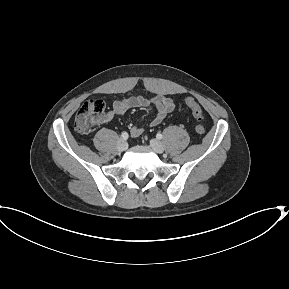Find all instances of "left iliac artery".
Listing matches in <instances>:
<instances>
[{
  "mask_svg": "<svg viewBox=\"0 0 289 289\" xmlns=\"http://www.w3.org/2000/svg\"><path fill=\"white\" fill-rule=\"evenodd\" d=\"M156 137H157V139H162L163 136H162V134L157 133Z\"/></svg>",
  "mask_w": 289,
  "mask_h": 289,
  "instance_id": "44dca946",
  "label": "left iliac artery"
}]
</instances>
